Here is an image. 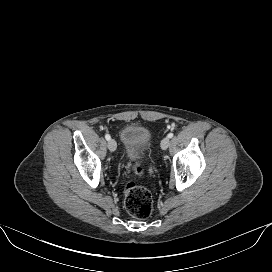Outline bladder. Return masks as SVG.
Returning <instances> with one entry per match:
<instances>
[{"mask_svg": "<svg viewBox=\"0 0 272 272\" xmlns=\"http://www.w3.org/2000/svg\"><path fill=\"white\" fill-rule=\"evenodd\" d=\"M121 140L127 157L135 160L150 148L151 134L147 128L131 124L122 129Z\"/></svg>", "mask_w": 272, "mask_h": 272, "instance_id": "bladder-1", "label": "bladder"}]
</instances>
